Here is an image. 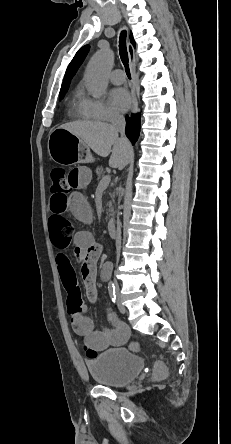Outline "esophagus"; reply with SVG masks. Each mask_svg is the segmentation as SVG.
<instances>
[{
  "mask_svg": "<svg viewBox=\"0 0 231 444\" xmlns=\"http://www.w3.org/2000/svg\"><path fill=\"white\" fill-rule=\"evenodd\" d=\"M127 51H128V55H129L130 66L133 67L134 61H135L134 49L129 42L127 43ZM132 102H133V104H132L131 112L136 113L138 111V97H137V92L135 89L132 91Z\"/></svg>",
  "mask_w": 231,
  "mask_h": 444,
  "instance_id": "1",
  "label": "esophagus"
}]
</instances>
